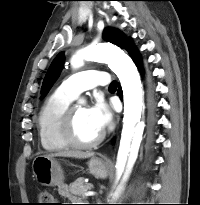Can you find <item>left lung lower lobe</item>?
<instances>
[{"mask_svg": "<svg viewBox=\"0 0 200 205\" xmlns=\"http://www.w3.org/2000/svg\"><path fill=\"white\" fill-rule=\"evenodd\" d=\"M124 49L128 51L129 55L131 56V58L133 59L137 67L140 68L142 65L141 58H140V55L136 47L134 46L131 40H129V42L126 44ZM118 94L119 95L122 94L121 90L118 91ZM150 110H151V113L153 114L155 110V102H154L153 95H152V89H151V98H150ZM151 123L154 124V117H152Z\"/></svg>", "mask_w": 200, "mask_h": 205, "instance_id": "0a47b994", "label": "left lung lower lobe"}]
</instances>
